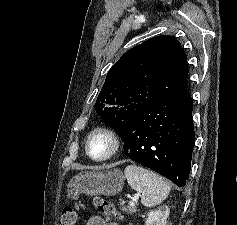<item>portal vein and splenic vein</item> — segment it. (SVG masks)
I'll return each instance as SVG.
<instances>
[{
    "instance_id": "portal-vein-and-splenic-vein-1",
    "label": "portal vein and splenic vein",
    "mask_w": 237,
    "mask_h": 225,
    "mask_svg": "<svg viewBox=\"0 0 237 225\" xmlns=\"http://www.w3.org/2000/svg\"><path fill=\"white\" fill-rule=\"evenodd\" d=\"M137 198H138V195H135L134 198L129 201L130 207H134L135 206V201L137 200Z\"/></svg>"
}]
</instances>
